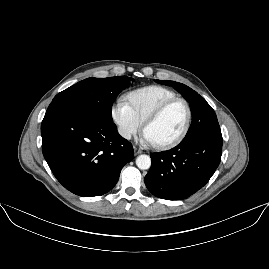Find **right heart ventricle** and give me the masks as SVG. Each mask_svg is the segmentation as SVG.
I'll return each mask as SVG.
<instances>
[{
  "mask_svg": "<svg viewBox=\"0 0 269 269\" xmlns=\"http://www.w3.org/2000/svg\"><path fill=\"white\" fill-rule=\"evenodd\" d=\"M175 97L177 95L174 91L161 86H149L128 94L129 105L142 124L153 110Z\"/></svg>",
  "mask_w": 269,
  "mask_h": 269,
  "instance_id": "right-heart-ventricle-1",
  "label": "right heart ventricle"
}]
</instances>
